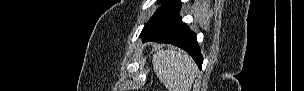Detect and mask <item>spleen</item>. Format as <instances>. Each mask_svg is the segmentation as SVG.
Wrapping results in <instances>:
<instances>
[{
  "label": "spleen",
  "instance_id": "1",
  "mask_svg": "<svg viewBox=\"0 0 304 91\" xmlns=\"http://www.w3.org/2000/svg\"><path fill=\"white\" fill-rule=\"evenodd\" d=\"M152 65L158 78L169 91H190L197 73L191 57L181 50L170 48L157 51Z\"/></svg>",
  "mask_w": 304,
  "mask_h": 91
}]
</instances>
